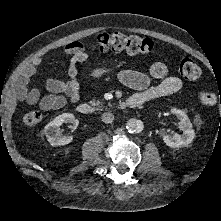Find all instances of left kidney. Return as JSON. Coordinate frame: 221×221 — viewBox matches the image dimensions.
<instances>
[{
    "label": "left kidney",
    "instance_id": "5707ae66",
    "mask_svg": "<svg viewBox=\"0 0 221 221\" xmlns=\"http://www.w3.org/2000/svg\"><path fill=\"white\" fill-rule=\"evenodd\" d=\"M171 113L176 115L177 119L179 120V126L183 131V134H174V135H169L165 134L163 136V140L166 143L167 146L171 148H181L184 146H188L194 139L195 137V132L193 130V125L191 121L189 120L187 114L180 110L173 108L171 109Z\"/></svg>",
    "mask_w": 221,
    "mask_h": 221
}]
</instances>
